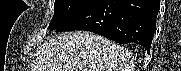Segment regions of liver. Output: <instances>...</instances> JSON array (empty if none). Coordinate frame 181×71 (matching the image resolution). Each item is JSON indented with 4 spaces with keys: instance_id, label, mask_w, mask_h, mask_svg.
Wrapping results in <instances>:
<instances>
[{
    "instance_id": "liver-1",
    "label": "liver",
    "mask_w": 181,
    "mask_h": 71,
    "mask_svg": "<svg viewBox=\"0 0 181 71\" xmlns=\"http://www.w3.org/2000/svg\"><path fill=\"white\" fill-rule=\"evenodd\" d=\"M32 71H134L132 54L89 32L61 33L40 46Z\"/></svg>"
}]
</instances>
